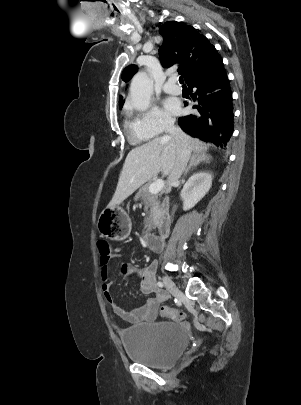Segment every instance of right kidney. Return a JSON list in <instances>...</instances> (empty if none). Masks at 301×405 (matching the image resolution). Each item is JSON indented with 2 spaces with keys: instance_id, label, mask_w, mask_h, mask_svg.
<instances>
[{
  "instance_id": "right-kidney-1",
  "label": "right kidney",
  "mask_w": 301,
  "mask_h": 405,
  "mask_svg": "<svg viewBox=\"0 0 301 405\" xmlns=\"http://www.w3.org/2000/svg\"><path fill=\"white\" fill-rule=\"evenodd\" d=\"M212 174L198 172L193 174L184 184L181 191L183 210L193 208L209 191L212 186Z\"/></svg>"
}]
</instances>
